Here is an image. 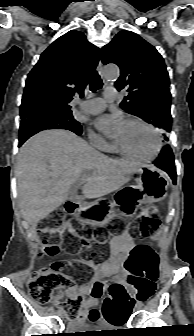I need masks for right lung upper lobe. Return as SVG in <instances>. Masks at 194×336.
Segmentation results:
<instances>
[{
  "mask_svg": "<svg viewBox=\"0 0 194 336\" xmlns=\"http://www.w3.org/2000/svg\"><path fill=\"white\" fill-rule=\"evenodd\" d=\"M100 59V49L85 35L71 30L54 41L28 74L21 103V122L40 113H72L75 93L83 96L88 75Z\"/></svg>",
  "mask_w": 194,
  "mask_h": 336,
  "instance_id": "cb5924a9",
  "label": "right lung upper lobe"
}]
</instances>
